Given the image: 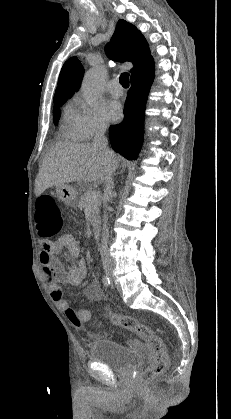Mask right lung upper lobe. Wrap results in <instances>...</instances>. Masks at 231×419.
Wrapping results in <instances>:
<instances>
[{"label":"right lung upper lobe","mask_w":231,"mask_h":419,"mask_svg":"<svg viewBox=\"0 0 231 419\" xmlns=\"http://www.w3.org/2000/svg\"><path fill=\"white\" fill-rule=\"evenodd\" d=\"M106 54L119 62L134 64L131 75L153 61L148 43L141 32L125 20H119L111 41L105 46ZM84 68L77 57L68 59L60 72L54 101L70 98L80 88Z\"/></svg>","instance_id":"right-lung-upper-lobe-1"}]
</instances>
